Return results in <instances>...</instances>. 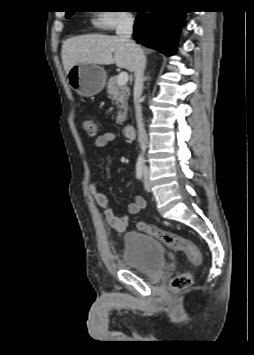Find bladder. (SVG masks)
I'll return each mask as SVG.
<instances>
[{"instance_id":"obj_1","label":"bladder","mask_w":254,"mask_h":355,"mask_svg":"<svg viewBox=\"0 0 254 355\" xmlns=\"http://www.w3.org/2000/svg\"><path fill=\"white\" fill-rule=\"evenodd\" d=\"M123 240V260L128 268L148 276L162 274L166 270L167 253L156 238L127 232Z\"/></svg>"}]
</instances>
